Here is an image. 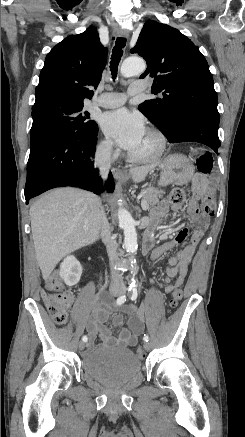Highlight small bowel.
I'll use <instances>...</instances> for the list:
<instances>
[{
    "instance_id": "c3829d8e",
    "label": "small bowel",
    "mask_w": 245,
    "mask_h": 437,
    "mask_svg": "<svg viewBox=\"0 0 245 437\" xmlns=\"http://www.w3.org/2000/svg\"><path fill=\"white\" fill-rule=\"evenodd\" d=\"M207 188V181L203 177L196 176L194 178L191 199L186 208L193 225L192 230L187 227H182L174 239L160 245L151 255V261L154 262L162 254L171 251L176 245L184 242L186 239L189 240L188 245L183 250L169 258L167 275L164 279L166 283L165 293L167 294L183 284L194 257L196 246L209 224L208 215L202 213L197 204L198 199L206 193ZM170 209L180 211L182 205L170 201L162 202L153 219L150 228L152 232L156 229L160 220L168 215ZM125 315L128 318L129 328L122 326ZM108 318L109 311L106 308H96L87 326L90 337L93 339L98 336L105 346L130 347L136 343L138 336L144 331L145 307L144 305L139 307L130 305L127 306L123 312L116 314L113 319V325L117 330L116 336L112 334L110 328L104 325ZM93 349L94 345L91 342L88 345V351H92Z\"/></svg>"
}]
</instances>
